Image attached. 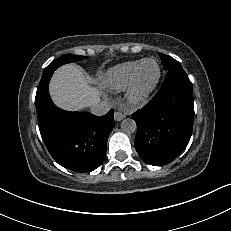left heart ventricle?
I'll return each mask as SVG.
<instances>
[{"mask_svg": "<svg viewBox=\"0 0 231 231\" xmlns=\"http://www.w3.org/2000/svg\"><path fill=\"white\" fill-rule=\"evenodd\" d=\"M157 73H158L157 66L153 62L145 63L141 67L137 75V79H136L137 91L139 93H142L145 90H147L155 81L157 77Z\"/></svg>", "mask_w": 231, "mask_h": 231, "instance_id": "1", "label": "left heart ventricle"}]
</instances>
